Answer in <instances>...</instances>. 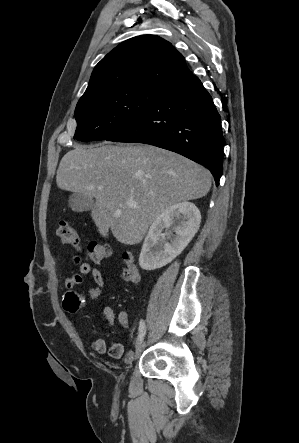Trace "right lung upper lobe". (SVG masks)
Returning a JSON list of instances; mask_svg holds the SVG:
<instances>
[{
  "mask_svg": "<svg viewBox=\"0 0 299 443\" xmlns=\"http://www.w3.org/2000/svg\"><path fill=\"white\" fill-rule=\"evenodd\" d=\"M184 57L168 41L155 35L128 39L94 68L80 99L120 88L166 90L191 76Z\"/></svg>",
  "mask_w": 299,
  "mask_h": 443,
  "instance_id": "right-lung-upper-lobe-1",
  "label": "right lung upper lobe"
}]
</instances>
